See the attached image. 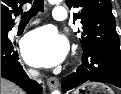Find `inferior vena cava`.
<instances>
[{
  "instance_id": "1",
  "label": "inferior vena cava",
  "mask_w": 121,
  "mask_h": 94,
  "mask_svg": "<svg viewBox=\"0 0 121 94\" xmlns=\"http://www.w3.org/2000/svg\"><path fill=\"white\" fill-rule=\"evenodd\" d=\"M28 75L31 77V78H37L39 76V72L36 71V70H29L28 71Z\"/></svg>"
}]
</instances>
